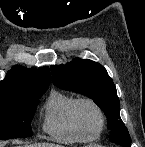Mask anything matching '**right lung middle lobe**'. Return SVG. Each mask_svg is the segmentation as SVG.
I'll return each instance as SVG.
<instances>
[{
	"instance_id": "dd1d6c3e",
	"label": "right lung middle lobe",
	"mask_w": 145,
	"mask_h": 147,
	"mask_svg": "<svg viewBox=\"0 0 145 147\" xmlns=\"http://www.w3.org/2000/svg\"><path fill=\"white\" fill-rule=\"evenodd\" d=\"M47 87L29 88L0 94V140L30 137V122Z\"/></svg>"
}]
</instances>
